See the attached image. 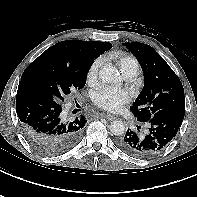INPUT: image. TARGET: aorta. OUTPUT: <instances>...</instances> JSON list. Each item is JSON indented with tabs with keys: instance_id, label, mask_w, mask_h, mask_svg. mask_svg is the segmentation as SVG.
I'll return each mask as SVG.
<instances>
[{
	"instance_id": "aorta-1",
	"label": "aorta",
	"mask_w": 197,
	"mask_h": 197,
	"mask_svg": "<svg viewBox=\"0 0 197 197\" xmlns=\"http://www.w3.org/2000/svg\"><path fill=\"white\" fill-rule=\"evenodd\" d=\"M100 79L106 83H118L121 81L120 73L112 65H105L99 71ZM110 132L113 135L120 136L125 132V125L120 120H115L110 124Z\"/></svg>"
}]
</instances>
